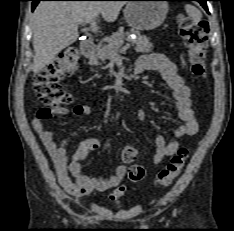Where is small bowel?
Instances as JSON below:
<instances>
[{"label": "small bowel", "mask_w": 234, "mask_h": 231, "mask_svg": "<svg viewBox=\"0 0 234 231\" xmlns=\"http://www.w3.org/2000/svg\"><path fill=\"white\" fill-rule=\"evenodd\" d=\"M143 70L158 71L171 88L175 99L177 114L182 124L175 130V137L167 141L162 135L155 138L156 151L153 163L158 164L164 158L174 155L180 148V139L195 135L199 125L191 107V90L178 73L176 64L161 53H152L142 56L137 64ZM136 66V67H137ZM69 113L85 117L91 114V108L86 104H76L71 111L52 110L47 107L37 108L32 119V126L40 137L44 147L50 155L58 178V182L65 194L73 197H83L93 191H105L113 188L109 198L117 201L126 191L123 180L127 173L124 165H118L110 177H90L83 171L81 162L88 155L98 150L101 139L97 137L83 140L72 155L68 154V139L63 138L59 143L55 141L51 130L45 128V122L53 116L65 117Z\"/></svg>", "instance_id": "c3829d8e"}]
</instances>
